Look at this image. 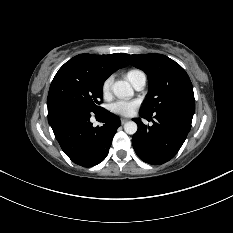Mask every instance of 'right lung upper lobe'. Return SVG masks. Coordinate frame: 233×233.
I'll list each match as a JSON object with an SVG mask.
<instances>
[{
  "mask_svg": "<svg viewBox=\"0 0 233 233\" xmlns=\"http://www.w3.org/2000/svg\"><path fill=\"white\" fill-rule=\"evenodd\" d=\"M122 56L123 54H80L70 59L61 68H79L107 79L116 70L126 66Z\"/></svg>",
  "mask_w": 233,
  "mask_h": 233,
  "instance_id": "cb5924a9",
  "label": "right lung upper lobe"
}]
</instances>
